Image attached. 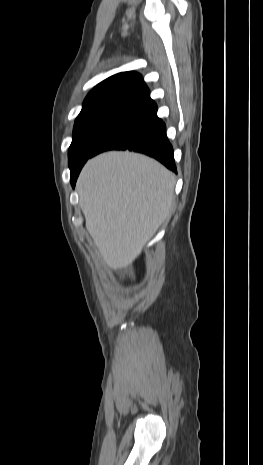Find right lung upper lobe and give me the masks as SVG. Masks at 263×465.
I'll return each instance as SVG.
<instances>
[{"label":"right lung upper lobe","instance_id":"obj_1","mask_svg":"<svg viewBox=\"0 0 263 465\" xmlns=\"http://www.w3.org/2000/svg\"><path fill=\"white\" fill-rule=\"evenodd\" d=\"M149 95V89L140 74L122 72L99 83L87 95L83 105L104 100H136L140 101Z\"/></svg>","mask_w":263,"mask_h":465}]
</instances>
